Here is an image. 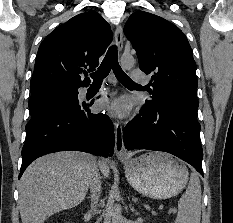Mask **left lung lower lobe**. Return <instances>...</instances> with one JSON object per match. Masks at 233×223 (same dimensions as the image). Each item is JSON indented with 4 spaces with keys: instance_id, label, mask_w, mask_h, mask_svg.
Instances as JSON below:
<instances>
[{
    "instance_id": "left-lung-lower-lobe-1",
    "label": "left lung lower lobe",
    "mask_w": 233,
    "mask_h": 223,
    "mask_svg": "<svg viewBox=\"0 0 233 223\" xmlns=\"http://www.w3.org/2000/svg\"><path fill=\"white\" fill-rule=\"evenodd\" d=\"M197 111L190 109L147 110L144 107L124 128L128 150L149 149L173 154L191 164L202 176L203 151Z\"/></svg>"
}]
</instances>
